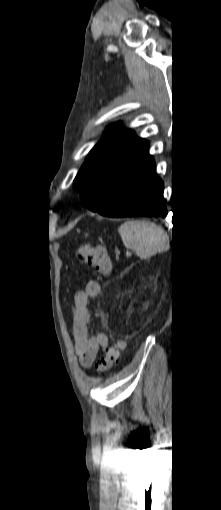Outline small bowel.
Wrapping results in <instances>:
<instances>
[{"label": "small bowel", "mask_w": 221, "mask_h": 510, "mask_svg": "<svg viewBox=\"0 0 221 510\" xmlns=\"http://www.w3.org/2000/svg\"><path fill=\"white\" fill-rule=\"evenodd\" d=\"M101 291L96 280H89L84 290L76 293L72 309V328L76 354L84 368H90L101 350L109 347V338L105 333L89 335L90 312L89 299H96Z\"/></svg>", "instance_id": "c3829d8e"}]
</instances>
